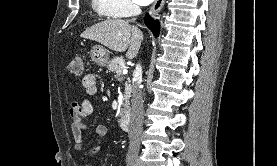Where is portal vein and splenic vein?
<instances>
[{
  "instance_id": "portal-vein-and-splenic-vein-1",
  "label": "portal vein and splenic vein",
  "mask_w": 277,
  "mask_h": 166,
  "mask_svg": "<svg viewBox=\"0 0 277 166\" xmlns=\"http://www.w3.org/2000/svg\"><path fill=\"white\" fill-rule=\"evenodd\" d=\"M123 74H127V70L126 69H123Z\"/></svg>"
}]
</instances>
